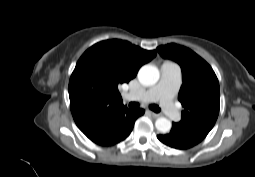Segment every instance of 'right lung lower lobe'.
I'll return each instance as SVG.
<instances>
[{
	"instance_id": "obj_1",
	"label": "right lung lower lobe",
	"mask_w": 255,
	"mask_h": 177,
	"mask_svg": "<svg viewBox=\"0 0 255 177\" xmlns=\"http://www.w3.org/2000/svg\"><path fill=\"white\" fill-rule=\"evenodd\" d=\"M143 114V109L130 110L124 106L79 126V129L92 142L101 146H113L129 136L135 120Z\"/></svg>"
}]
</instances>
